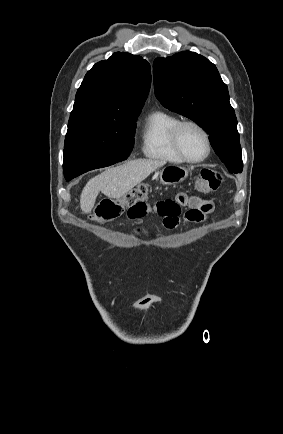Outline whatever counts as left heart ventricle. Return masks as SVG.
<instances>
[{
	"label": "left heart ventricle",
	"mask_w": 283,
	"mask_h": 434,
	"mask_svg": "<svg viewBox=\"0 0 283 434\" xmlns=\"http://www.w3.org/2000/svg\"><path fill=\"white\" fill-rule=\"evenodd\" d=\"M180 144L184 153L193 159L206 152V142L202 133L193 126H185L180 132Z\"/></svg>",
	"instance_id": "left-heart-ventricle-1"
}]
</instances>
